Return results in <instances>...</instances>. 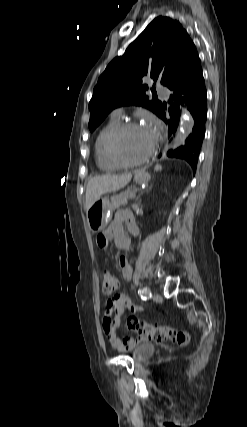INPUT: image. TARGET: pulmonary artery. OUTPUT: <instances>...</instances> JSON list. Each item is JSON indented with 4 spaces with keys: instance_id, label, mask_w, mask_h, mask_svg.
I'll use <instances>...</instances> for the list:
<instances>
[{
    "instance_id": "obj_1",
    "label": "pulmonary artery",
    "mask_w": 247,
    "mask_h": 427,
    "mask_svg": "<svg viewBox=\"0 0 247 427\" xmlns=\"http://www.w3.org/2000/svg\"><path fill=\"white\" fill-rule=\"evenodd\" d=\"M158 92L164 98L168 96V90L165 87H159ZM122 113H123L122 108H117L112 112V116L119 118L122 115Z\"/></svg>"
}]
</instances>
